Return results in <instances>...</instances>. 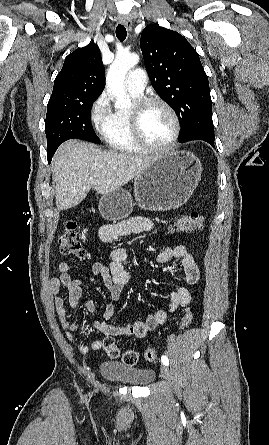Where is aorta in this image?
I'll return each instance as SVG.
<instances>
[{
    "label": "aorta",
    "mask_w": 269,
    "mask_h": 445,
    "mask_svg": "<svg viewBox=\"0 0 269 445\" xmlns=\"http://www.w3.org/2000/svg\"><path fill=\"white\" fill-rule=\"evenodd\" d=\"M139 62V56L135 53H124L118 55L110 66L106 75V85L115 96V107L127 109L131 107V99L124 90V79L126 73Z\"/></svg>",
    "instance_id": "aorta-1"
}]
</instances>
